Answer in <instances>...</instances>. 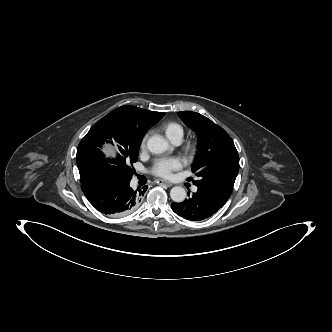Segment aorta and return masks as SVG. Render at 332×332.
<instances>
[{"mask_svg":"<svg viewBox=\"0 0 332 332\" xmlns=\"http://www.w3.org/2000/svg\"><path fill=\"white\" fill-rule=\"evenodd\" d=\"M147 148L154 154H160L169 149V144L162 136L153 135L147 141ZM170 197L176 203L183 202L186 198V191L181 186H175L170 191Z\"/></svg>","mask_w":332,"mask_h":332,"instance_id":"1","label":"aorta"}]
</instances>
